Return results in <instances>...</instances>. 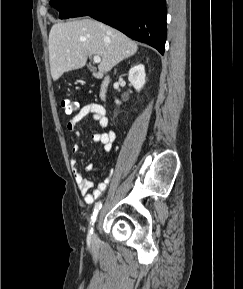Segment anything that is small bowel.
Here are the masks:
<instances>
[{
    "label": "small bowel",
    "instance_id": "small-bowel-1",
    "mask_svg": "<svg viewBox=\"0 0 243 289\" xmlns=\"http://www.w3.org/2000/svg\"><path fill=\"white\" fill-rule=\"evenodd\" d=\"M91 116L94 120L97 121L98 125L105 129L109 125V121L106 115V110L104 107L97 103H89L81 107L78 113L69 120L67 128L70 131H73L76 136H79V124L86 117ZM92 139L96 143H100L103 146L105 152H110L113 148V143L116 139V133L112 130L106 132L95 133L92 136ZM80 147L78 144L73 145L72 152L77 153ZM72 173L74 175L78 189L83 196L84 202L88 205L94 203L106 190L107 185L111 181V176L107 177L104 181L99 182L96 187L92 181L83 177L80 172L77 161L72 159L70 161ZM87 172L95 171V164L89 163L85 166Z\"/></svg>",
    "mask_w": 243,
    "mask_h": 289
}]
</instances>
